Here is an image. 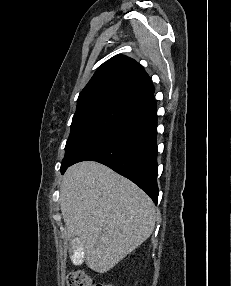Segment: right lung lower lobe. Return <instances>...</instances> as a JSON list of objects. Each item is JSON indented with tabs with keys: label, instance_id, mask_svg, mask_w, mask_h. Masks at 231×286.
I'll return each mask as SVG.
<instances>
[{
	"label": "right lung lower lobe",
	"instance_id": "98d812e1",
	"mask_svg": "<svg viewBox=\"0 0 231 286\" xmlns=\"http://www.w3.org/2000/svg\"><path fill=\"white\" fill-rule=\"evenodd\" d=\"M153 94L134 110L132 117L93 142L61 173L74 163L94 160L133 181L157 203V106Z\"/></svg>",
	"mask_w": 231,
	"mask_h": 286
}]
</instances>
